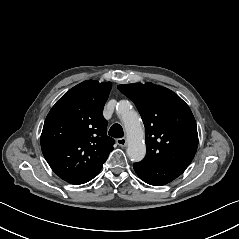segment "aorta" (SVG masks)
I'll list each match as a JSON object with an SVG mask.
<instances>
[{"instance_id": "762f6f07", "label": "aorta", "mask_w": 239, "mask_h": 239, "mask_svg": "<svg viewBox=\"0 0 239 239\" xmlns=\"http://www.w3.org/2000/svg\"><path fill=\"white\" fill-rule=\"evenodd\" d=\"M117 114L123 118L127 139L129 141L126 153L132 162L141 161L146 154L144 129L135 111L130 109L128 100H121L117 106Z\"/></svg>"}]
</instances>
